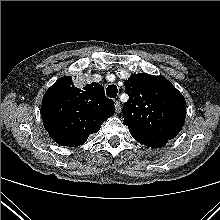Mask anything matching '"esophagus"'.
I'll use <instances>...</instances> for the list:
<instances>
[{"mask_svg":"<svg viewBox=\"0 0 220 220\" xmlns=\"http://www.w3.org/2000/svg\"><path fill=\"white\" fill-rule=\"evenodd\" d=\"M114 105H115L116 113H120L122 110L121 103L117 100L115 101Z\"/></svg>","mask_w":220,"mask_h":220,"instance_id":"obj_1","label":"esophagus"}]
</instances>
